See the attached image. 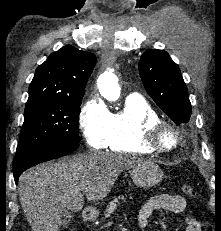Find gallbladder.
<instances>
[{"label":"gallbladder","instance_id":"obj_1","mask_svg":"<svg viewBox=\"0 0 221 231\" xmlns=\"http://www.w3.org/2000/svg\"><path fill=\"white\" fill-rule=\"evenodd\" d=\"M70 220H71V212L68 210H63L61 214L59 226L62 228L66 227L70 223Z\"/></svg>","mask_w":221,"mask_h":231}]
</instances>
